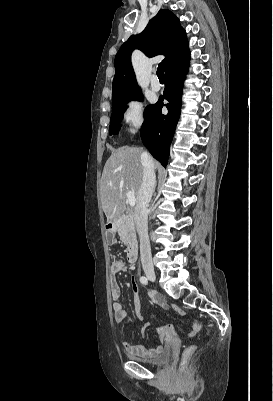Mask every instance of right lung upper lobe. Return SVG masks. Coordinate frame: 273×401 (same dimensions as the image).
<instances>
[{
  "label": "right lung upper lobe",
  "mask_w": 273,
  "mask_h": 401,
  "mask_svg": "<svg viewBox=\"0 0 273 401\" xmlns=\"http://www.w3.org/2000/svg\"><path fill=\"white\" fill-rule=\"evenodd\" d=\"M141 50L148 57L164 55L165 73L189 58L188 40L179 19L169 10L161 9L145 30L132 35L115 57V76L112 84V107L126 99L141 94L131 64V53Z\"/></svg>",
  "instance_id": "obj_1"
}]
</instances>
